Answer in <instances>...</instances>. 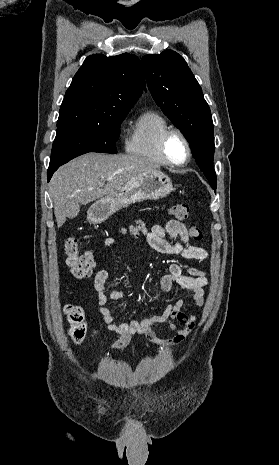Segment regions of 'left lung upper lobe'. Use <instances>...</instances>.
<instances>
[{
    "label": "left lung upper lobe",
    "instance_id": "5c2ea615",
    "mask_svg": "<svg viewBox=\"0 0 279 465\" xmlns=\"http://www.w3.org/2000/svg\"><path fill=\"white\" fill-rule=\"evenodd\" d=\"M142 63L154 100L181 130L197 164L216 189L213 122L200 85L184 58L175 51L146 55Z\"/></svg>",
    "mask_w": 279,
    "mask_h": 465
}]
</instances>
